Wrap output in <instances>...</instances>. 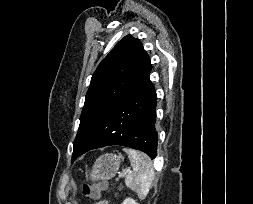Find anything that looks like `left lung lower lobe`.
I'll return each mask as SVG.
<instances>
[{"label":"left lung lower lobe","instance_id":"obj_1","mask_svg":"<svg viewBox=\"0 0 253 204\" xmlns=\"http://www.w3.org/2000/svg\"><path fill=\"white\" fill-rule=\"evenodd\" d=\"M149 74L124 101L94 124L88 134V143L72 162L78 155L110 145L143 151L151 159L157 156V95Z\"/></svg>","mask_w":253,"mask_h":204}]
</instances>
